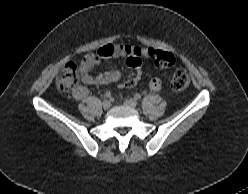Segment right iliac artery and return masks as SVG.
<instances>
[{
    "label": "right iliac artery",
    "mask_w": 248,
    "mask_h": 194,
    "mask_svg": "<svg viewBox=\"0 0 248 194\" xmlns=\"http://www.w3.org/2000/svg\"><path fill=\"white\" fill-rule=\"evenodd\" d=\"M105 97H107V98H111V97H112V95H111V93H110V92H106V93H105Z\"/></svg>",
    "instance_id": "82829eb1"
}]
</instances>
